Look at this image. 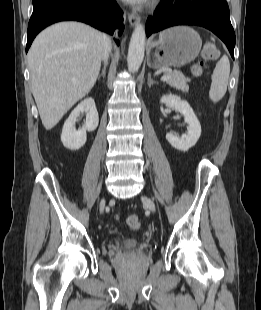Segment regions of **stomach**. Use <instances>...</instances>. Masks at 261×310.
I'll list each match as a JSON object with an SVG mask.
<instances>
[{
	"mask_svg": "<svg viewBox=\"0 0 261 310\" xmlns=\"http://www.w3.org/2000/svg\"><path fill=\"white\" fill-rule=\"evenodd\" d=\"M201 45L199 34L190 27L166 29L149 45V65L158 69L184 66L198 56Z\"/></svg>",
	"mask_w": 261,
	"mask_h": 310,
	"instance_id": "1",
	"label": "stomach"
}]
</instances>
